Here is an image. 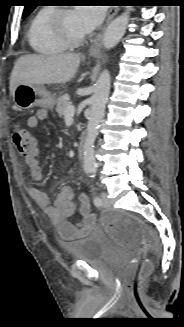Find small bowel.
Here are the masks:
<instances>
[{
  "label": "small bowel",
  "mask_w": 184,
  "mask_h": 327,
  "mask_svg": "<svg viewBox=\"0 0 184 327\" xmlns=\"http://www.w3.org/2000/svg\"><path fill=\"white\" fill-rule=\"evenodd\" d=\"M47 116V110L42 109L27 119V126L35 128L38 123ZM41 148L36 150L26 159V164L31 177L35 181L43 180V169L39 163L38 155ZM30 194L43 209L45 214L57 226L59 234L65 239H75L86 235L95 226V216L91 211L89 197L82 193L78 198V213L81 220L78 223L70 221V217L76 209L74 192L72 188L66 187L56 196L53 204L50 203L47 193L39 188H31Z\"/></svg>",
  "instance_id": "obj_1"
}]
</instances>
